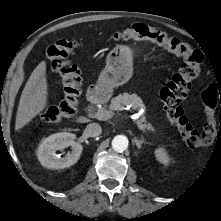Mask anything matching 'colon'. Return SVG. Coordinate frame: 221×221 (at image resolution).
Instances as JSON below:
<instances>
[{"instance_id":"1","label":"colon","mask_w":221,"mask_h":221,"mask_svg":"<svg viewBox=\"0 0 221 221\" xmlns=\"http://www.w3.org/2000/svg\"><path fill=\"white\" fill-rule=\"evenodd\" d=\"M113 38L118 42L148 41L182 59L177 73L160 92L166 115L188 146L197 147L213 143L216 136L214 87L208 86L204 89L203 101L207 121L201 131L192 125L181 105L191 90L193 80L200 72L203 54L187 43L143 24H135L117 31ZM76 46L74 40L61 39L47 48L46 54L51 61V67L61 77L64 90L62 102L49 107L43 114V119L48 123L72 117L77 112L82 85L81 70L69 60V55Z\"/></svg>"}]
</instances>
